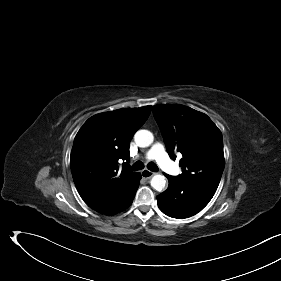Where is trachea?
<instances>
[{"mask_svg": "<svg viewBox=\"0 0 281 281\" xmlns=\"http://www.w3.org/2000/svg\"><path fill=\"white\" fill-rule=\"evenodd\" d=\"M147 167L152 172H157L159 170L158 166L153 162L148 163ZM143 168H144L143 163L141 161H137L133 164L131 170L137 171V170H141Z\"/></svg>", "mask_w": 281, "mask_h": 281, "instance_id": "3493384b", "label": "trachea"}]
</instances>
